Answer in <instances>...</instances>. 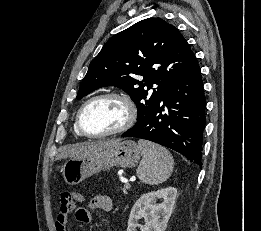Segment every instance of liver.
Here are the masks:
<instances>
[{
	"label": "liver",
	"instance_id": "6515ba94",
	"mask_svg": "<svg viewBox=\"0 0 261 231\" xmlns=\"http://www.w3.org/2000/svg\"><path fill=\"white\" fill-rule=\"evenodd\" d=\"M119 140H107L75 144L72 146L65 147L57 159L62 158H83L89 155L98 153Z\"/></svg>",
	"mask_w": 261,
	"mask_h": 231
}]
</instances>
